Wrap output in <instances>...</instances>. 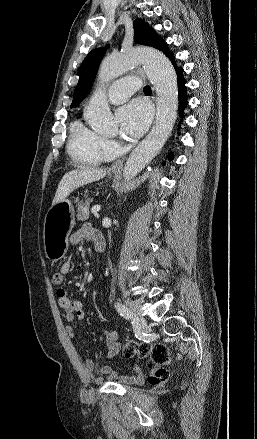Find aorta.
<instances>
[{
    "instance_id": "obj_1",
    "label": "aorta",
    "mask_w": 257,
    "mask_h": 439,
    "mask_svg": "<svg viewBox=\"0 0 257 439\" xmlns=\"http://www.w3.org/2000/svg\"><path fill=\"white\" fill-rule=\"evenodd\" d=\"M139 63L143 64L156 90V120L150 133L127 159L125 180L135 177L158 154L173 129L178 110V85L173 65L162 52L149 47L134 48L105 58L99 69L96 91L84 111L95 132L114 134L117 124L106 101L105 88L110 81Z\"/></svg>"
}]
</instances>
